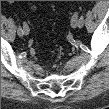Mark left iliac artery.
I'll use <instances>...</instances> for the list:
<instances>
[{
    "mask_svg": "<svg viewBox=\"0 0 109 109\" xmlns=\"http://www.w3.org/2000/svg\"><path fill=\"white\" fill-rule=\"evenodd\" d=\"M84 24V16H83V13L82 15L80 16V19H79V28H81Z\"/></svg>",
    "mask_w": 109,
    "mask_h": 109,
    "instance_id": "left-iliac-artery-1",
    "label": "left iliac artery"
}]
</instances>
